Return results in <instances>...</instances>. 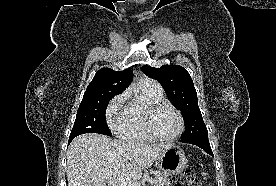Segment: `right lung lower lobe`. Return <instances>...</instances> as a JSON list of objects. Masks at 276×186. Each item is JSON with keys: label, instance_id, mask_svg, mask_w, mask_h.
<instances>
[{"label": "right lung lower lobe", "instance_id": "obj_1", "mask_svg": "<svg viewBox=\"0 0 276 186\" xmlns=\"http://www.w3.org/2000/svg\"><path fill=\"white\" fill-rule=\"evenodd\" d=\"M73 138H69V143L72 141Z\"/></svg>", "mask_w": 276, "mask_h": 186}]
</instances>
